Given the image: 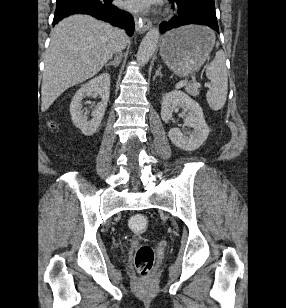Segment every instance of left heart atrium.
<instances>
[{"label":"left heart atrium","mask_w":286,"mask_h":308,"mask_svg":"<svg viewBox=\"0 0 286 308\" xmlns=\"http://www.w3.org/2000/svg\"><path fill=\"white\" fill-rule=\"evenodd\" d=\"M149 0H128L126 5L134 11L143 10L148 6Z\"/></svg>","instance_id":"1"}]
</instances>
